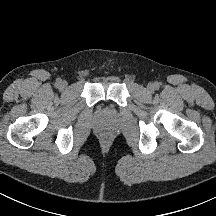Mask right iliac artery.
<instances>
[{
	"label": "right iliac artery",
	"instance_id": "1",
	"mask_svg": "<svg viewBox=\"0 0 216 216\" xmlns=\"http://www.w3.org/2000/svg\"><path fill=\"white\" fill-rule=\"evenodd\" d=\"M60 83H61V80L58 79V80L56 81V85L59 86Z\"/></svg>",
	"mask_w": 216,
	"mask_h": 216
}]
</instances>
